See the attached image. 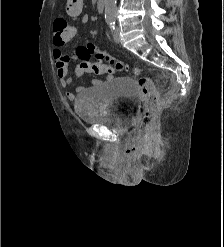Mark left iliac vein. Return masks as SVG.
Instances as JSON below:
<instances>
[{
	"instance_id": "1",
	"label": "left iliac vein",
	"mask_w": 224,
	"mask_h": 247,
	"mask_svg": "<svg viewBox=\"0 0 224 247\" xmlns=\"http://www.w3.org/2000/svg\"><path fill=\"white\" fill-rule=\"evenodd\" d=\"M119 28H116L113 33V39L116 43L120 42V34H119Z\"/></svg>"
}]
</instances>
